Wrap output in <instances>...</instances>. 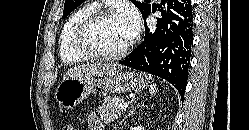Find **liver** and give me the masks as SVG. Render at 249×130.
Listing matches in <instances>:
<instances>
[{"instance_id":"6515ba94","label":"liver","mask_w":249,"mask_h":130,"mask_svg":"<svg viewBox=\"0 0 249 130\" xmlns=\"http://www.w3.org/2000/svg\"><path fill=\"white\" fill-rule=\"evenodd\" d=\"M123 67L120 65L110 64H83L74 66L65 73L63 80L69 78H83V77H104L116 72H119Z\"/></svg>"}]
</instances>
